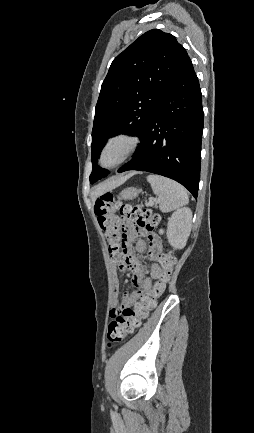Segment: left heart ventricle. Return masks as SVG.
Instances as JSON below:
<instances>
[{
    "label": "left heart ventricle",
    "instance_id": "b2bd125f",
    "mask_svg": "<svg viewBox=\"0 0 254 433\" xmlns=\"http://www.w3.org/2000/svg\"><path fill=\"white\" fill-rule=\"evenodd\" d=\"M125 148L126 143L124 141H116L112 143L104 153L103 164L112 165L116 163L123 155Z\"/></svg>",
    "mask_w": 254,
    "mask_h": 433
}]
</instances>
